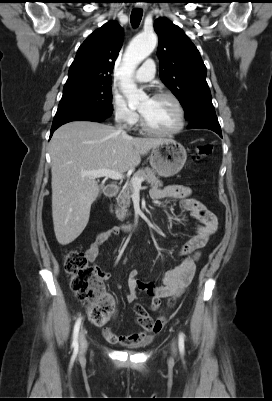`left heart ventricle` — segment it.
<instances>
[{
    "instance_id": "b2bd125f",
    "label": "left heart ventricle",
    "mask_w": 272,
    "mask_h": 401,
    "mask_svg": "<svg viewBox=\"0 0 272 401\" xmlns=\"http://www.w3.org/2000/svg\"><path fill=\"white\" fill-rule=\"evenodd\" d=\"M146 123L157 130H171L178 123V112L174 103L166 98L145 99L139 106Z\"/></svg>"
}]
</instances>
